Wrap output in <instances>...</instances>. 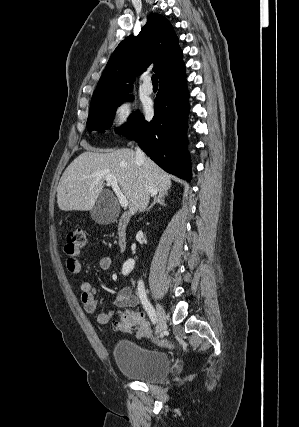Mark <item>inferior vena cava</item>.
<instances>
[{
	"instance_id": "602c4592",
	"label": "inferior vena cava",
	"mask_w": 299,
	"mask_h": 427,
	"mask_svg": "<svg viewBox=\"0 0 299 427\" xmlns=\"http://www.w3.org/2000/svg\"><path fill=\"white\" fill-rule=\"evenodd\" d=\"M136 156H137V159H139V160L145 159V154L139 147L136 148ZM152 192H153L152 187L150 185H146L143 196L141 198V202L139 204V208H138L140 212H142L146 209V207L149 203V200H150V195L152 194Z\"/></svg>"
}]
</instances>
